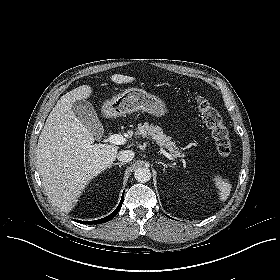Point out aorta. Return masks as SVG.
<instances>
[{
	"label": "aorta",
	"instance_id": "1",
	"mask_svg": "<svg viewBox=\"0 0 280 280\" xmlns=\"http://www.w3.org/2000/svg\"><path fill=\"white\" fill-rule=\"evenodd\" d=\"M134 177L140 183L148 182L151 179L150 169L146 167H139L135 170Z\"/></svg>",
	"mask_w": 280,
	"mask_h": 280
}]
</instances>
